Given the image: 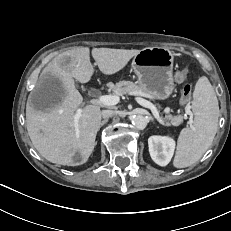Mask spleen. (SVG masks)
Instances as JSON below:
<instances>
[{
  "instance_id": "1",
  "label": "spleen",
  "mask_w": 231,
  "mask_h": 231,
  "mask_svg": "<svg viewBox=\"0 0 231 231\" xmlns=\"http://www.w3.org/2000/svg\"><path fill=\"white\" fill-rule=\"evenodd\" d=\"M192 110L194 119L190 126L181 130L173 160L176 168L196 163L207 151L216 135L219 106L218 99L207 77L196 82Z\"/></svg>"
}]
</instances>
